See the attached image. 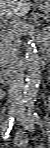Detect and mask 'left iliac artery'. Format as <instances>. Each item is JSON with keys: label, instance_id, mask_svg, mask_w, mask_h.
<instances>
[{"label": "left iliac artery", "instance_id": "left-iliac-artery-1", "mask_svg": "<svg viewBox=\"0 0 50 148\" xmlns=\"http://www.w3.org/2000/svg\"><path fill=\"white\" fill-rule=\"evenodd\" d=\"M29 116L31 117V120L34 123H36V124L41 123L40 116L34 111V105L33 104L29 105Z\"/></svg>", "mask_w": 50, "mask_h": 148}]
</instances>
